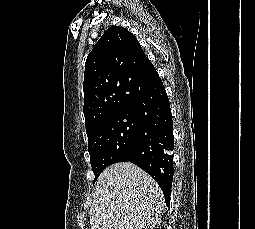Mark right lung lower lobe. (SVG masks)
Wrapping results in <instances>:
<instances>
[{
    "label": "right lung lower lobe",
    "mask_w": 255,
    "mask_h": 229,
    "mask_svg": "<svg viewBox=\"0 0 255 229\" xmlns=\"http://www.w3.org/2000/svg\"><path fill=\"white\" fill-rule=\"evenodd\" d=\"M138 119L130 157L127 161L150 174L170 204L173 167V121L163 82L156 72L125 108Z\"/></svg>",
    "instance_id": "obj_1"
}]
</instances>
